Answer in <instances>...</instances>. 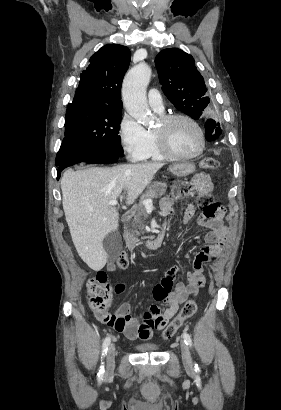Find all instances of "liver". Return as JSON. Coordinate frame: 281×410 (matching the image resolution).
<instances>
[{
    "label": "liver",
    "instance_id": "obj_1",
    "mask_svg": "<svg viewBox=\"0 0 281 410\" xmlns=\"http://www.w3.org/2000/svg\"><path fill=\"white\" fill-rule=\"evenodd\" d=\"M163 165L152 162L64 172L61 190L65 218L79 256L92 270L106 265L103 240L118 228L119 213L109 202L121 196L132 204Z\"/></svg>",
    "mask_w": 281,
    "mask_h": 410
}]
</instances>
